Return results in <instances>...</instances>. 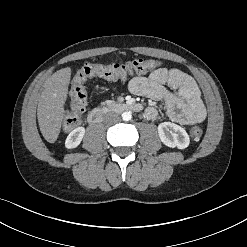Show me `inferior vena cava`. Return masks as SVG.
Segmentation results:
<instances>
[{
	"label": "inferior vena cava",
	"mask_w": 247,
	"mask_h": 247,
	"mask_svg": "<svg viewBox=\"0 0 247 247\" xmlns=\"http://www.w3.org/2000/svg\"><path fill=\"white\" fill-rule=\"evenodd\" d=\"M105 121L108 123H116L120 121V116L116 113H108L105 116Z\"/></svg>",
	"instance_id": "inferior-vena-cava-1"
}]
</instances>
